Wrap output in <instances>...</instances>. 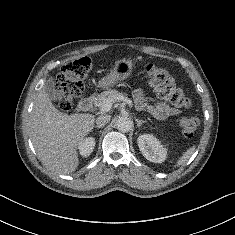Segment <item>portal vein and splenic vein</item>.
Segmentation results:
<instances>
[{
    "label": "portal vein and splenic vein",
    "mask_w": 235,
    "mask_h": 235,
    "mask_svg": "<svg viewBox=\"0 0 235 235\" xmlns=\"http://www.w3.org/2000/svg\"><path fill=\"white\" fill-rule=\"evenodd\" d=\"M118 100L124 101L125 103H127L131 108L133 107L132 101L124 96H120L118 98ZM113 105V101L111 99H107L106 101H104L101 106H100V110L102 112H108L110 111V109L112 108Z\"/></svg>",
    "instance_id": "18ae733b"
}]
</instances>
